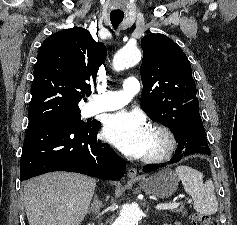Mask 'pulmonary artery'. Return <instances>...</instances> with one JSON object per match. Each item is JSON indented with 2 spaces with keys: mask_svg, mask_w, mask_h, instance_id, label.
I'll return each instance as SVG.
<instances>
[{
  "mask_svg": "<svg viewBox=\"0 0 237 225\" xmlns=\"http://www.w3.org/2000/svg\"><path fill=\"white\" fill-rule=\"evenodd\" d=\"M140 85L135 77H128L120 91H102L88 105L87 110L89 115H94L100 112L113 111L119 109L132 99L138 93Z\"/></svg>",
  "mask_w": 237,
  "mask_h": 225,
  "instance_id": "pulmonary-artery-1",
  "label": "pulmonary artery"
}]
</instances>
